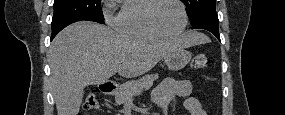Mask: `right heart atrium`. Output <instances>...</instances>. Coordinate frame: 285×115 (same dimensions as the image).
Segmentation results:
<instances>
[{"instance_id":"d8ad5b80","label":"right heart atrium","mask_w":285,"mask_h":115,"mask_svg":"<svg viewBox=\"0 0 285 115\" xmlns=\"http://www.w3.org/2000/svg\"><path fill=\"white\" fill-rule=\"evenodd\" d=\"M105 19L112 25L115 26L116 16L114 15V2L107 1L104 9Z\"/></svg>"}]
</instances>
